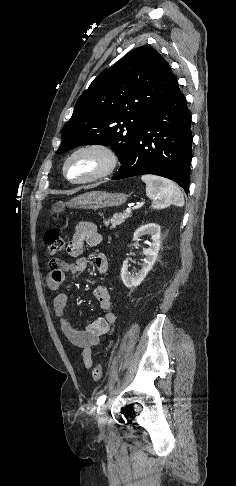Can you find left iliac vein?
<instances>
[{
  "label": "left iliac vein",
  "instance_id": "4c4485c4",
  "mask_svg": "<svg viewBox=\"0 0 236 486\" xmlns=\"http://www.w3.org/2000/svg\"><path fill=\"white\" fill-rule=\"evenodd\" d=\"M106 411H107V405L104 404L99 407L98 409V426L101 431L105 429L106 426Z\"/></svg>",
  "mask_w": 236,
  "mask_h": 486
}]
</instances>
